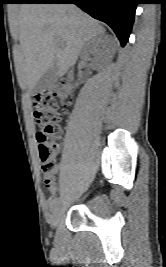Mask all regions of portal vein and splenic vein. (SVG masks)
<instances>
[{"mask_svg":"<svg viewBox=\"0 0 166 267\" xmlns=\"http://www.w3.org/2000/svg\"><path fill=\"white\" fill-rule=\"evenodd\" d=\"M57 43H59V44H60V43H62V41H61L60 39H57Z\"/></svg>","mask_w":166,"mask_h":267,"instance_id":"1","label":"portal vein and splenic vein"}]
</instances>
